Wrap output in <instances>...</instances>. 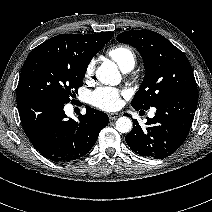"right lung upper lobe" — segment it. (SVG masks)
<instances>
[{"label": "right lung upper lobe", "instance_id": "cb5924a9", "mask_svg": "<svg viewBox=\"0 0 212 212\" xmlns=\"http://www.w3.org/2000/svg\"><path fill=\"white\" fill-rule=\"evenodd\" d=\"M106 34L114 35L113 32L86 35L61 34L40 44L34 48L29 55H49L61 58L70 57L72 53H74V47L77 43L95 40Z\"/></svg>", "mask_w": 212, "mask_h": 212}]
</instances>
